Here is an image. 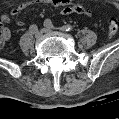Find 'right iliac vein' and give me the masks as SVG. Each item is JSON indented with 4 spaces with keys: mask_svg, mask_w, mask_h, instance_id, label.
I'll return each instance as SVG.
<instances>
[{
    "mask_svg": "<svg viewBox=\"0 0 119 119\" xmlns=\"http://www.w3.org/2000/svg\"><path fill=\"white\" fill-rule=\"evenodd\" d=\"M42 33H43L42 30H40V31L37 30V31L34 33V36H35L36 38H38V37L42 36Z\"/></svg>",
    "mask_w": 119,
    "mask_h": 119,
    "instance_id": "right-iliac-vein-1",
    "label": "right iliac vein"
}]
</instances>
